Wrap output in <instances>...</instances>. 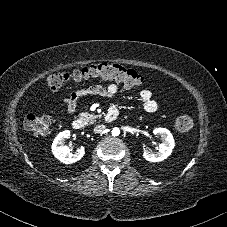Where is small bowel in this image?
<instances>
[{
    "instance_id": "obj_1",
    "label": "small bowel",
    "mask_w": 227,
    "mask_h": 227,
    "mask_svg": "<svg viewBox=\"0 0 227 227\" xmlns=\"http://www.w3.org/2000/svg\"><path fill=\"white\" fill-rule=\"evenodd\" d=\"M119 90V86L116 83H112L107 87L100 85H93L85 89H78L72 91L70 94L62 97V103L66 107L69 113H73L77 106V102L81 97L96 95L102 97H114ZM140 98L144 103V109L148 113H154L158 109V104L152 97V93L149 90H143L140 93ZM113 109L116 110L115 107ZM117 111V110H116Z\"/></svg>"
}]
</instances>
